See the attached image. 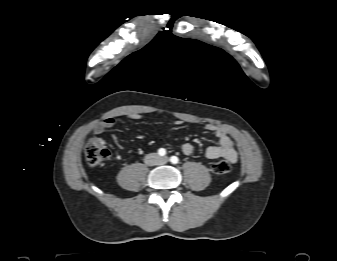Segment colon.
<instances>
[{
	"instance_id": "colon-1",
	"label": "colon",
	"mask_w": 337,
	"mask_h": 261,
	"mask_svg": "<svg viewBox=\"0 0 337 261\" xmlns=\"http://www.w3.org/2000/svg\"><path fill=\"white\" fill-rule=\"evenodd\" d=\"M85 156L90 167H98L110 156L105 140L102 137L94 136L86 144ZM231 170L228 160H220L213 165V171L217 175H225Z\"/></svg>"
}]
</instances>
